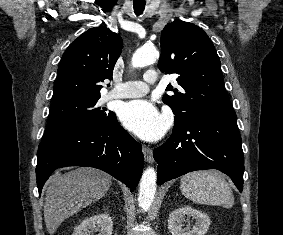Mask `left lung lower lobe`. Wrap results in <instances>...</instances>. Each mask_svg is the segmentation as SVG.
Instances as JSON below:
<instances>
[{
	"label": "left lung lower lobe",
	"instance_id": "1",
	"mask_svg": "<svg viewBox=\"0 0 283 235\" xmlns=\"http://www.w3.org/2000/svg\"><path fill=\"white\" fill-rule=\"evenodd\" d=\"M157 182L195 170L217 169L243 190L244 156L235 112L200 116L174 125L165 144L153 152Z\"/></svg>",
	"mask_w": 283,
	"mask_h": 235
}]
</instances>
